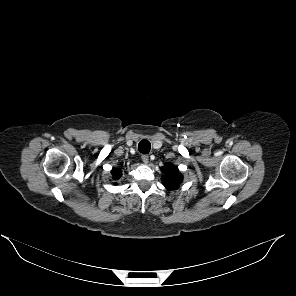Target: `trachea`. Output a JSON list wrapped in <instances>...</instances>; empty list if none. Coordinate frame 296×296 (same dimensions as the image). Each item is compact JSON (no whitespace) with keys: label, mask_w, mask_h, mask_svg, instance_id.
Returning a JSON list of instances; mask_svg holds the SVG:
<instances>
[{"label":"trachea","mask_w":296,"mask_h":296,"mask_svg":"<svg viewBox=\"0 0 296 296\" xmlns=\"http://www.w3.org/2000/svg\"><path fill=\"white\" fill-rule=\"evenodd\" d=\"M151 149V144L148 140L143 139L139 142L138 144V150L142 153V154H148L150 152Z\"/></svg>","instance_id":"trachea-1"}]
</instances>
